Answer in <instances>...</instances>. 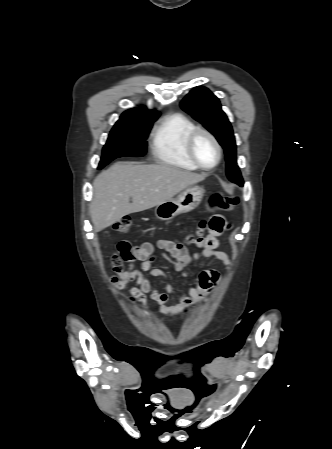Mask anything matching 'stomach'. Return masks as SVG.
I'll list each match as a JSON object with an SVG mask.
<instances>
[{
	"mask_svg": "<svg viewBox=\"0 0 332 449\" xmlns=\"http://www.w3.org/2000/svg\"><path fill=\"white\" fill-rule=\"evenodd\" d=\"M205 190L199 186H189L176 198H172L155 208L160 220H172L176 216L194 210L202 201Z\"/></svg>",
	"mask_w": 332,
	"mask_h": 449,
	"instance_id": "stomach-1",
	"label": "stomach"
}]
</instances>
